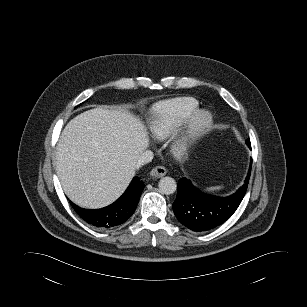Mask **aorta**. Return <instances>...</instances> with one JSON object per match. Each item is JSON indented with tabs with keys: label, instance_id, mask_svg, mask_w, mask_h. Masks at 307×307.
I'll return each mask as SVG.
<instances>
[{
	"label": "aorta",
	"instance_id": "1",
	"mask_svg": "<svg viewBox=\"0 0 307 307\" xmlns=\"http://www.w3.org/2000/svg\"><path fill=\"white\" fill-rule=\"evenodd\" d=\"M158 187L161 193L170 195L176 191L177 184L172 177L166 176L160 179Z\"/></svg>",
	"mask_w": 307,
	"mask_h": 307
}]
</instances>
